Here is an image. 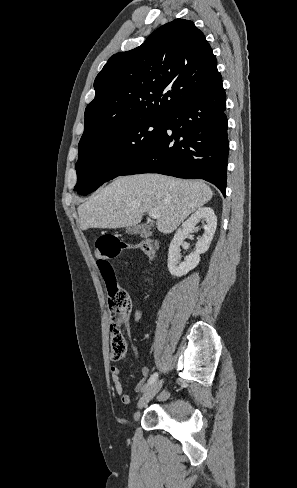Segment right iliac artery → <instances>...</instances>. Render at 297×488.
<instances>
[{"instance_id": "obj_1", "label": "right iliac artery", "mask_w": 297, "mask_h": 488, "mask_svg": "<svg viewBox=\"0 0 297 488\" xmlns=\"http://www.w3.org/2000/svg\"><path fill=\"white\" fill-rule=\"evenodd\" d=\"M157 378H158V373H154L153 375H151V377L148 380V385L153 384Z\"/></svg>"}]
</instances>
